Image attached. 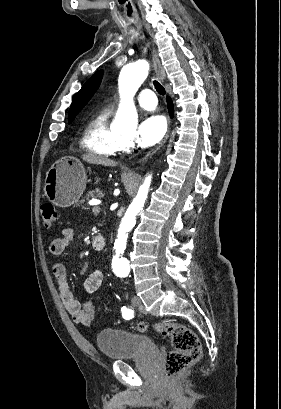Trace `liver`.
<instances>
[{"label": "liver", "mask_w": 281, "mask_h": 409, "mask_svg": "<svg viewBox=\"0 0 281 409\" xmlns=\"http://www.w3.org/2000/svg\"><path fill=\"white\" fill-rule=\"evenodd\" d=\"M82 158L90 164H104V166H116L117 164L116 160H111L102 154H95V152H86V154H82Z\"/></svg>", "instance_id": "1"}]
</instances>
